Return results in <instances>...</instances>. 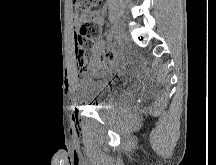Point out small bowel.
<instances>
[{
	"label": "small bowel",
	"mask_w": 216,
	"mask_h": 165,
	"mask_svg": "<svg viewBox=\"0 0 216 165\" xmlns=\"http://www.w3.org/2000/svg\"><path fill=\"white\" fill-rule=\"evenodd\" d=\"M104 9H100V10H96V11H93L91 14H90V17L98 24V25H102L103 24V21H104ZM95 48V51L98 52V53H104V52H108L111 54L112 56V59L114 57V53L112 50H108L105 48V45L102 41H99L95 44L94 46ZM111 59V60H112ZM89 85H90V82L88 81H85L83 84H82V87H81V91L87 95H89Z\"/></svg>",
	"instance_id": "c3829d8e"
}]
</instances>
